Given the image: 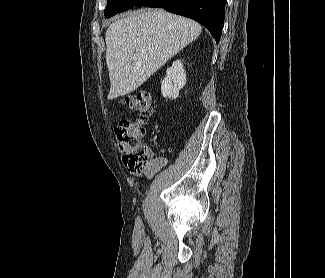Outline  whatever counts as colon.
Instances as JSON below:
<instances>
[{
    "instance_id": "obj_1",
    "label": "colon",
    "mask_w": 325,
    "mask_h": 278,
    "mask_svg": "<svg viewBox=\"0 0 325 278\" xmlns=\"http://www.w3.org/2000/svg\"><path fill=\"white\" fill-rule=\"evenodd\" d=\"M123 103L130 110L138 113L139 118L121 120L114 127L119 148L123 153V164L129 171H140L148 164L152 151L143 142L145 122L153 113L150 95L146 92H134L124 97Z\"/></svg>"
}]
</instances>
